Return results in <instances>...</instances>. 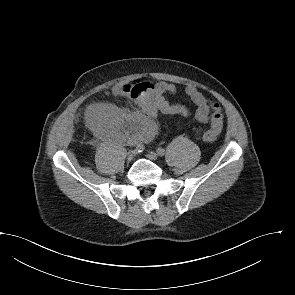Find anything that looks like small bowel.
I'll return each mask as SVG.
<instances>
[{
  "mask_svg": "<svg viewBox=\"0 0 295 295\" xmlns=\"http://www.w3.org/2000/svg\"><path fill=\"white\" fill-rule=\"evenodd\" d=\"M176 93V87L169 82L125 83L113 88V94L129 99L137 107L130 112L108 103L89 106L85 117L87 123L102 137L118 143H135L150 140L157 131L155 117L157 113L188 116L189 110L179 104H170L165 96ZM186 95L195 104V118L205 124L210 120L207 132L218 136L223 128L222 114L214 119L213 100L203 95L194 86L185 88Z\"/></svg>",
  "mask_w": 295,
  "mask_h": 295,
  "instance_id": "1",
  "label": "small bowel"
}]
</instances>
